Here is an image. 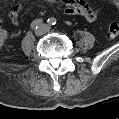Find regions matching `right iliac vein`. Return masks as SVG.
<instances>
[{"instance_id": "63e3f726", "label": "right iliac vein", "mask_w": 119, "mask_h": 119, "mask_svg": "<svg viewBox=\"0 0 119 119\" xmlns=\"http://www.w3.org/2000/svg\"><path fill=\"white\" fill-rule=\"evenodd\" d=\"M45 32V28L44 26H40L36 31H35V34L38 35V36H41L43 35Z\"/></svg>"}]
</instances>
